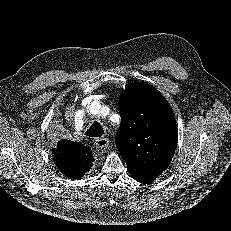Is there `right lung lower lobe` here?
Here are the masks:
<instances>
[{"label":"right lung lower lobe","instance_id":"obj_1","mask_svg":"<svg viewBox=\"0 0 231 231\" xmlns=\"http://www.w3.org/2000/svg\"><path fill=\"white\" fill-rule=\"evenodd\" d=\"M71 143H74L73 141H70ZM75 144V143H74ZM82 146H84V145H82ZM85 147V146H84ZM87 148V147H86Z\"/></svg>","mask_w":231,"mask_h":231}]
</instances>
